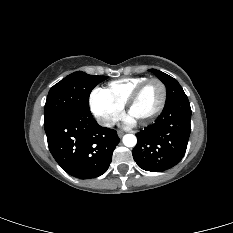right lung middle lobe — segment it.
I'll list each match as a JSON object with an SVG mask.
<instances>
[{"instance_id": "right-lung-middle-lobe-1", "label": "right lung middle lobe", "mask_w": 233, "mask_h": 233, "mask_svg": "<svg viewBox=\"0 0 233 233\" xmlns=\"http://www.w3.org/2000/svg\"><path fill=\"white\" fill-rule=\"evenodd\" d=\"M107 78L77 71L62 79L48 93L44 122L66 112L89 110V95L92 89Z\"/></svg>"}]
</instances>
